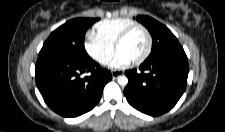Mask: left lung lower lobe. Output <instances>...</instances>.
Wrapping results in <instances>:
<instances>
[{
  "mask_svg": "<svg viewBox=\"0 0 225 132\" xmlns=\"http://www.w3.org/2000/svg\"><path fill=\"white\" fill-rule=\"evenodd\" d=\"M189 67L186 54L144 61L139 70L125 72L129 79L124 89L135 109L158 116L175 106L187 85Z\"/></svg>",
  "mask_w": 225,
  "mask_h": 132,
  "instance_id": "1",
  "label": "left lung lower lobe"
}]
</instances>
